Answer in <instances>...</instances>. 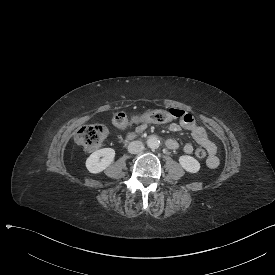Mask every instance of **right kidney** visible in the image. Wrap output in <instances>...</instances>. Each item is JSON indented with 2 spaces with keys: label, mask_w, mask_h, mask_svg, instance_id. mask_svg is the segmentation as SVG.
<instances>
[{
  "label": "right kidney",
  "mask_w": 275,
  "mask_h": 275,
  "mask_svg": "<svg viewBox=\"0 0 275 275\" xmlns=\"http://www.w3.org/2000/svg\"><path fill=\"white\" fill-rule=\"evenodd\" d=\"M102 157V159H100ZM115 150L103 148L93 152L86 160V168L91 173H99L105 170L113 161Z\"/></svg>",
  "instance_id": "obj_1"
}]
</instances>
